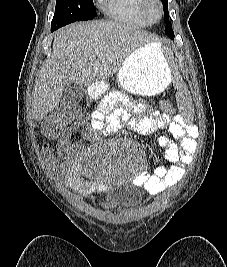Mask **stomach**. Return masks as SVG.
<instances>
[{"label": "stomach", "mask_w": 227, "mask_h": 267, "mask_svg": "<svg viewBox=\"0 0 227 267\" xmlns=\"http://www.w3.org/2000/svg\"><path fill=\"white\" fill-rule=\"evenodd\" d=\"M172 75L162 47L148 43L133 51L118 70L120 86L131 93L154 95L162 92L171 82ZM108 85L92 84L88 87L90 98H96Z\"/></svg>", "instance_id": "obj_1"}]
</instances>
